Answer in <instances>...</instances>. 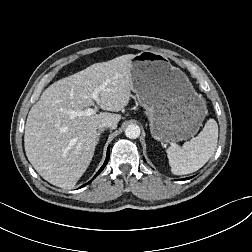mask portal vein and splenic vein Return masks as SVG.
Wrapping results in <instances>:
<instances>
[{
	"instance_id": "1",
	"label": "portal vein and splenic vein",
	"mask_w": 252,
	"mask_h": 252,
	"mask_svg": "<svg viewBox=\"0 0 252 252\" xmlns=\"http://www.w3.org/2000/svg\"><path fill=\"white\" fill-rule=\"evenodd\" d=\"M104 87L101 86L99 88H96L92 94H91V97L97 102L99 103L100 102V99H99V92L101 90H103ZM98 108L95 107L94 109L93 108H87L86 110L84 111H70L69 114L72 116V117H75V116H90V115H93L97 112Z\"/></svg>"
}]
</instances>
